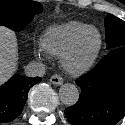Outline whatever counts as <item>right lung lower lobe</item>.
<instances>
[{
	"mask_svg": "<svg viewBox=\"0 0 125 125\" xmlns=\"http://www.w3.org/2000/svg\"><path fill=\"white\" fill-rule=\"evenodd\" d=\"M40 81V77L14 75L0 87V123L13 121L22 113L29 89Z\"/></svg>",
	"mask_w": 125,
	"mask_h": 125,
	"instance_id": "1",
	"label": "right lung lower lobe"
}]
</instances>
